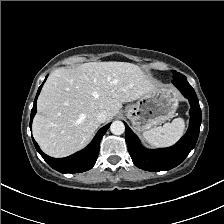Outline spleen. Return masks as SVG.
Returning a JSON list of instances; mask_svg holds the SVG:
<instances>
[{
    "mask_svg": "<svg viewBox=\"0 0 224 224\" xmlns=\"http://www.w3.org/2000/svg\"><path fill=\"white\" fill-rule=\"evenodd\" d=\"M184 131V120L175 118L171 123L143 132L142 136L153 147H168L176 143L183 136Z\"/></svg>",
    "mask_w": 224,
    "mask_h": 224,
    "instance_id": "obj_1",
    "label": "spleen"
}]
</instances>
